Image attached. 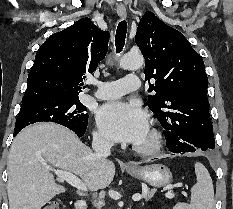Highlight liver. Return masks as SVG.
<instances>
[{
	"label": "liver",
	"mask_w": 233,
	"mask_h": 209,
	"mask_svg": "<svg viewBox=\"0 0 233 209\" xmlns=\"http://www.w3.org/2000/svg\"><path fill=\"white\" fill-rule=\"evenodd\" d=\"M78 175L91 191L110 185L112 161L98 157L67 128L39 123L23 129L13 140L8 157L9 209H41L66 191L46 166Z\"/></svg>",
	"instance_id": "liver-1"
}]
</instances>
